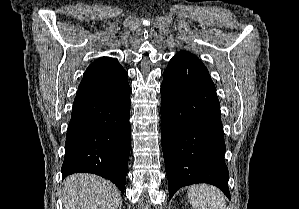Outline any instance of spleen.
I'll return each mask as SVG.
<instances>
[{
  "label": "spleen",
  "mask_w": 299,
  "mask_h": 209,
  "mask_svg": "<svg viewBox=\"0 0 299 209\" xmlns=\"http://www.w3.org/2000/svg\"><path fill=\"white\" fill-rule=\"evenodd\" d=\"M187 196L194 209H226L225 196L215 186L193 185L188 189Z\"/></svg>",
  "instance_id": "obj_1"
}]
</instances>
